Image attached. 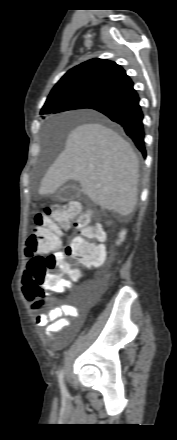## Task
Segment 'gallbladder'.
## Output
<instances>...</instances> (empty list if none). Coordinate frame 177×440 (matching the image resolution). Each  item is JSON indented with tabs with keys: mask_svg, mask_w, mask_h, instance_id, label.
Wrapping results in <instances>:
<instances>
[{
	"mask_svg": "<svg viewBox=\"0 0 177 440\" xmlns=\"http://www.w3.org/2000/svg\"><path fill=\"white\" fill-rule=\"evenodd\" d=\"M81 196V190L74 184L63 187L56 195L52 196L54 201H72Z\"/></svg>",
	"mask_w": 177,
	"mask_h": 440,
	"instance_id": "1",
	"label": "gallbladder"
}]
</instances>
